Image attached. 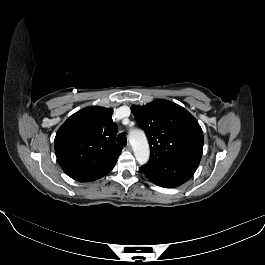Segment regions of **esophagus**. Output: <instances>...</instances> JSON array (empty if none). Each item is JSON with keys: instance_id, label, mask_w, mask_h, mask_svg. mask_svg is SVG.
Listing matches in <instances>:
<instances>
[{"instance_id": "1", "label": "esophagus", "mask_w": 265, "mask_h": 265, "mask_svg": "<svg viewBox=\"0 0 265 265\" xmlns=\"http://www.w3.org/2000/svg\"><path fill=\"white\" fill-rule=\"evenodd\" d=\"M126 149H127L128 151H131V150H132L131 145H130V144H127Z\"/></svg>"}]
</instances>
